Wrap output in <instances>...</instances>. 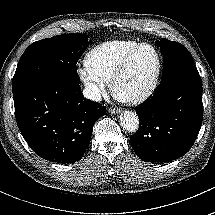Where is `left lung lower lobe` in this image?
<instances>
[{"mask_svg": "<svg viewBox=\"0 0 215 215\" xmlns=\"http://www.w3.org/2000/svg\"><path fill=\"white\" fill-rule=\"evenodd\" d=\"M135 110L139 128L130 144L137 156L153 163L181 157L192 147L203 119L199 72L190 68L163 80L153 97Z\"/></svg>", "mask_w": 215, "mask_h": 215, "instance_id": "1", "label": "left lung lower lobe"}]
</instances>
